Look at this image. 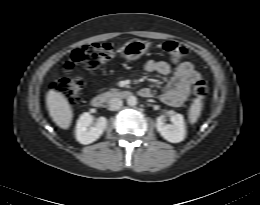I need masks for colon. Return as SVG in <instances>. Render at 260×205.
<instances>
[{
  "label": "colon",
  "mask_w": 260,
  "mask_h": 205,
  "mask_svg": "<svg viewBox=\"0 0 260 205\" xmlns=\"http://www.w3.org/2000/svg\"><path fill=\"white\" fill-rule=\"evenodd\" d=\"M163 50L173 63H179L187 56V49L173 41L165 42ZM114 56L115 48L109 42H96L75 49L64 65L66 76L53 82V88L64 94L69 101L76 102L81 95L83 81L80 77L73 76L71 72L81 64L95 69L110 62ZM192 90L194 95L201 99L209 95V86L204 80H198L194 83Z\"/></svg>",
  "instance_id": "5ec220e1"
}]
</instances>
